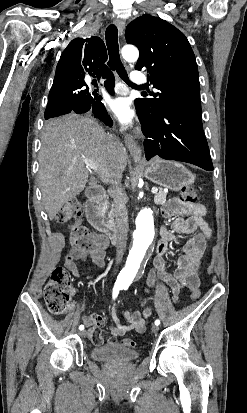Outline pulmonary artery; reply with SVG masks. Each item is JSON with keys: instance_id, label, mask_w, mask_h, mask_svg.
Segmentation results:
<instances>
[{"instance_id": "pulmonary-artery-1", "label": "pulmonary artery", "mask_w": 247, "mask_h": 413, "mask_svg": "<svg viewBox=\"0 0 247 413\" xmlns=\"http://www.w3.org/2000/svg\"><path fill=\"white\" fill-rule=\"evenodd\" d=\"M141 70L136 68L131 70V75L133 76V81L135 82V85H143V82L147 80V77L145 75H141ZM85 82L90 85L91 83V78L89 75L85 77Z\"/></svg>"}]
</instances>
